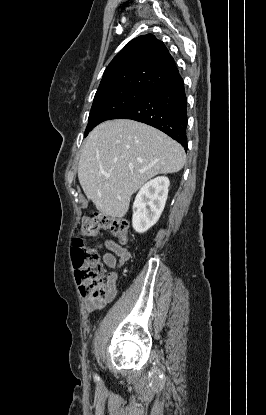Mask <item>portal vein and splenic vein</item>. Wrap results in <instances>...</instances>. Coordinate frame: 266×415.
Here are the masks:
<instances>
[{
	"label": "portal vein and splenic vein",
	"mask_w": 266,
	"mask_h": 415,
	"mask_svg": "<svg viewBox=\"0 0 266 415\" xmlns=\"http://www.w3.org/2000/svg\"><path fill=\"white\" fill-rule=\"evenodd\" d=\"M105 175H106V177H110V176H111V174H110V173H106Z\"/></svg>",
	"instance_id": "18ae733b"
}]
</instances>
